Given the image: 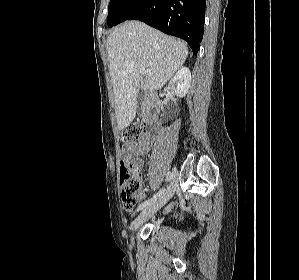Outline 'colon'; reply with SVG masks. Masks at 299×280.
I'll return each mask as SVG.
<instances>
[{
	"label": "colon",
	"instance_id": "1",
	"mask_svg": "<svg viewBox=\"0 0 299 280\" xmlns=\"http://www.w3.org/2000/svg\"><path fill=\"white\" fill-rule=\"evenodd\" d=\"M140 138L141 133L136 125H129L121 130L120 140L122 146L136 143ZM120 185L123 207L127 211H132L140 200L142 180L139 166L135 162H130L124 156L120 164Z\"/></svg>",
	"mask_w": 299,
	"mask_h": 280
}]
</instances>
